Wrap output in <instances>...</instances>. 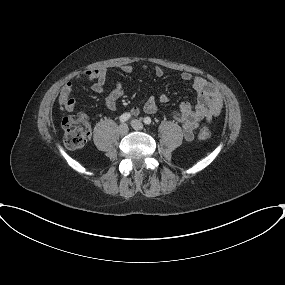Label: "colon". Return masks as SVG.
<instances>
[{
    "mask_svg": "<svg viewBox=\"0 0 285 285\" xmlns=\"http://www.w3.org/2000/svg\"><path fill=\"white\" fill-rule=\"evenodd\" d=\"M64 131V142L70 149L82 148L86 145L91 134V127L84 114L66 117L62 121ZM211 131L206 124H203L198 132V137L202 140L210 138Z\"/></svg>",
    "mask_w": 285,
    "mask_h": 285,
    "instance_id": "colon-1",
    "label": "colon"
}]
</instances>
